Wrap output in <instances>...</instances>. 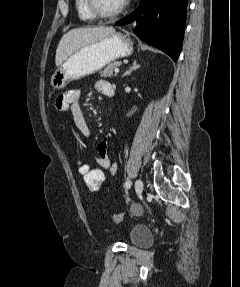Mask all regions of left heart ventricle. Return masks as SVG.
I'll return each mask as SVG.
<instances>
[{
  "label": "left heart ventricle",
  "mask_w": 240,
  "mask_h": 287,
  "mask_svg": "<svg viewBox=\"0 0 240 287\" xmlns=\"http://www.w3.org/2000/svg\"><path fill=\"white\" fill-rule=\"evenodd\" d=\"M101 9L111 11L116 9L123 0H98Z\"/></svg>",
  "instance_id": "obj_1"
}]
</instances>
